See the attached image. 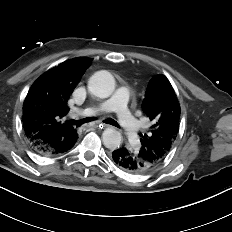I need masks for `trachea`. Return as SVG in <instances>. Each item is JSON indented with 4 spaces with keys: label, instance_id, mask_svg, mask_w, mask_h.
<instances>
[{
    "label": "trachea",
    "instance_id": "1",
    "mask_svg": "<svg viewBox=\"0 0 232 232\" xmlns=\"http://www.w3.org/2000/svg\"><path fill=\"white\" fill-rule=\"evenodd\" d=\"M94 119H95L94 117H93V118L88 117V118L80 119V120H78V121L72 120L71 123H72L73 125H76L77 127H80L82 124L91 122V121H93ZM103 122H104V123H107V124H110V125H113V126H116V127H119L118 123H117L115 120L111 119V118H107V119H105Z\"/></svg>",
    "mask_w": 232,
    "mask_h": 232
}]
</instances>
